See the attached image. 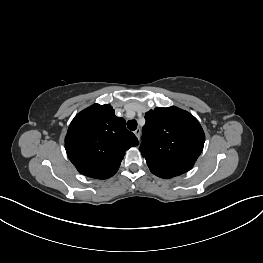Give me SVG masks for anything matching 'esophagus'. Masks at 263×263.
I'll return each instance as SVG.
<instances>
[{
  "label": "esophagus",
  "instance_id": "esophagus-1",
  "mask_svg": "<svg viewBox=\"0 0 263 263\" xmlns=\"http://www.w3.org/2000/svg\"><path fill=\"white\" fill-rule=\"evenodd\" d=\"M135 136L138 138V140L140 139V135H141V130L138 128L134 131Z\"/></svg>",
  "mask_w": 263,
  "mask_h": 263
}]
</instances>
